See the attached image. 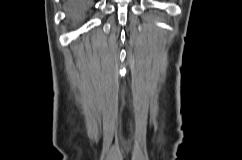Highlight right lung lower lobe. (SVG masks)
I'll return each mask as SVG.
<instances>
[{
  "instance_id": "98d812e1",
  "label": "right lung lower lobe",
  "mask_w": 242,
  "mask_h": 160,
  "mask_svg": "<svg viewBox=\"0 0 242 160\" xmlns=\"http://www.w3.org/2000/svg\"><path fill=\"white\" fill-rule=\"evenodd\" d=\"M68 12L71 18L79 19L83 17L92 7L95 0H67Z\"/></svg>"
}]
</instances>
